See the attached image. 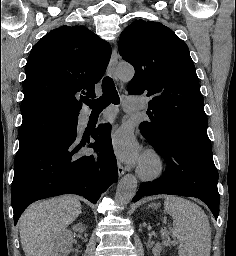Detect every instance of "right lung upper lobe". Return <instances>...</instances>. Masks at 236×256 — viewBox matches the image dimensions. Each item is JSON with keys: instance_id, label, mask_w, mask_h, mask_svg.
<instances>
[{"instance_id": "obj_1", "label": "right lung upper lobe", "mask_w": 236, "mask_h": 256, "mask_svg": "<svg viewBox=\"0 0 236 256\" xmlns=\"http://www.w3.org/2000/svg\"><path fill=\"white\" fill-rule=\"evenodd\" d=\"M110 55L111 46L84 26H62L45 35L25 67L23 120L46 112L78 118L82 99L95 98Z\"/></svg>"}]
</instances>
